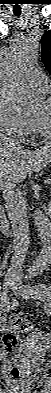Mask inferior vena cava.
<instances>
[{"mask_svg": "<svg viewBox=\"0 0 51 393\" xmlns=\"http://www.w3.org/2000/svg\"><path fill=\"white\" fill-rule=\"evenodd\" d=\"M3 197L6 201V208L8 217L11 221L14 237L13 256L8 269V274L20 275L22 273V264L30 242L26 204L23 197L13 189V186L9 184L3 189Z\"/></svg>", "mask_w": 51, "mask_h": 393, "instance_id": "602c4592", "label": "inferior vena cava"}]
</instances>
